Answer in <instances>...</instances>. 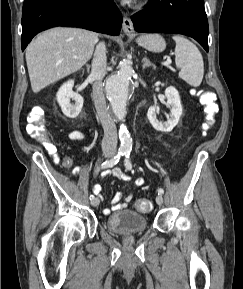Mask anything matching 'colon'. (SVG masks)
<instances>
[{
	"mask_svg": "<svg viewBox=\"0 0 243 289\" xmlns=\"http://www.w3.org/2000/svg\"><path fill=\"white\" fill-rule=\"evenodd\" d=\"M198 97L205 114L204 130H208L215 122V116L218 112V105L216 103L215 94L210 91H199ZM28 125L26 127L28 134L41 142L45 148L54 153L55 146L49 140L47 131L44 125V111L41 107L33 108L28 114ZM134 207L139 212H148L152 208L150 201L146 199H139L135 201Z\"/></svg>",
	"mask_w": 243,
	"mask_h": 289,
	"instance_id": "obj_1",
	"label": "colon"
}]
</instances>
